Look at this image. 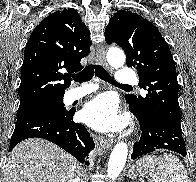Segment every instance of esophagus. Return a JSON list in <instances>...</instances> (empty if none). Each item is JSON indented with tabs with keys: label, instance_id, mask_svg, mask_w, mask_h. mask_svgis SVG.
<instances>
[{
	"label": "esophagus",
	"instance_id": "obj_1",
	"mask_svg": "<svg viewBox=\"0 0 196 182\" xmlns=\"http://www.w3.org/2000/svg\"><path fill=\"white\" fill-rule=\"evenodd\" d=\"M96 56L98 61L103 65L107 66L106 58H105V51L103 47L96 48ZM113 141L111 139H98L97 145H99V151L102 152L103 149L109 148L112 145Z\"/></svg>",
	"mask_w": 196,
	"mask_h": 182
}]
</instances>
